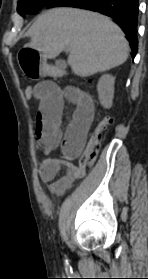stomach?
I'll return each instance as SVG.
<instances>
[{
	"instance_id": "obj_1",
	"label": "stomach",
	"mask_w": 148,
	"mask_h": 279,
	"mask_svg": "<svg viewBox=\"0 0 148 279\" xmlns=\"http://www.w3.org/2000/svg\"><path fill=\"white\" fill-rule=\"evenodd\" d=\"M43 53V50H17L18 69L28 82H47L54 75L47 54Z\"/></svg>"
}]
</instances>
